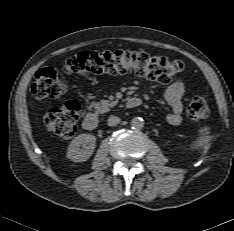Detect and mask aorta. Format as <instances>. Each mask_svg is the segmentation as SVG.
Here are the masks:
<instances>
[{"label": "aorta", "instance_id": "1", "mask_svg": "<svg viewBox=\"0 0 234 231\" xmlns=\"http://www.w3.org/2000/svg\"><path fill=\"white\" fill-rule=\"evenodd\" d=\"M130 124L134 129H142L144 127V120L141 117H134Z\"/></svg>", "mask_w": 234, "mask_h": 231}]
</instances>
